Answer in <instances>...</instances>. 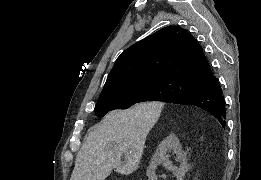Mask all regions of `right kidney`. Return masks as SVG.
Segmentation results:
<instances>
[{
  "instance_id": "1",
  "label": "right kidney",
  "mask_w": 261,
  "mask_h": 180,
  "mask_svg": "<svg viewBox=\"0 0 261 180\" xmlns=\"http://www.w3.org/2000/svg\"><path fill=\"white\" fill-rule=\"evenodd\" d=\"M169 150H173V154H176L177 160L180 162L179 168H171L173 170L175 176H177L178 180H183L186 172L189 170V164H187V156L185 152H183L181 148V144L175 136V134H170L164 142H161L159 144L155 156L152 158V162L147 170V176L150 180L151 176L155 174V170L158 166V164H161V162H165V166H168L169 162L167 152Z\"/></svg>"
}]
</instances>
